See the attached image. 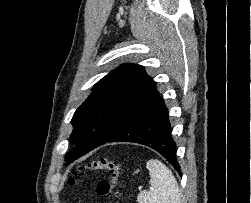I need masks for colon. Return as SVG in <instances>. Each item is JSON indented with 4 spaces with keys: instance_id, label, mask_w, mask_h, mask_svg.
I'll list each match as a JSON object with an SVG mask.
<instances>
[{
    "instance_id": "1",
    "label": "colon",
    "mask_w": 251,
    "mask_h": 203,
    "mask_svg": "<svg viewBox=\"0 0 251 203\" xmlns=\"http://www.w3.org/2000/svg\"><path fill=\"white\" fill-rule=\"evenodd\" d=\"M97 172L105 171L109 174V179L100 180L97 184V192L104 196L112 198V201L118 195V183L121 177V165L119 162L109 160L103 157L94 158L85 165L79 166L72 170V175L69 178V184L74 185L76 177L82 172Z\"/></svg>"
}]
</instances>
